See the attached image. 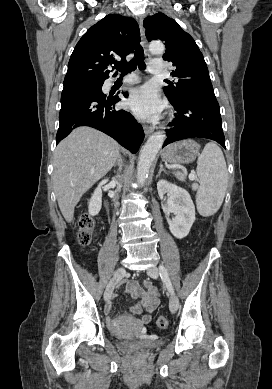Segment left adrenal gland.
Listing matches in <instances>:
<instances>
[{"label": "left adrenal gland", "instance_id": "1", "mask_svg": "<svg viewBox=\"0 0 272 389\" xmlns=\"http://www.w3.org/2000/svg\"><path fill=\"white\" fill-rule=\"evenodd\" d=\"M162 171H163L164 173H167L166 170L163 168V164L160 163V169H159V171H158V175H157V176H160V174H161Z\"/></svg>", "mask_w": 272, "mask_h": 389}]
</instances>
